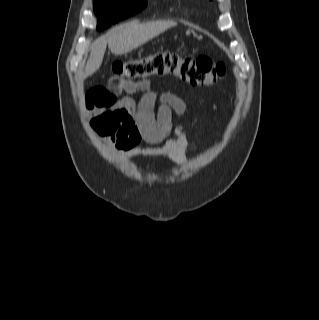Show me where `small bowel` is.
Wrapping results in <instances>:
<instances>
[{"label":"small bowel","mask_w":319,"mask_h":320,"mask_svg":"<svg viewBox=\"0 0 319 320\" xmlns=\"http://www.w3.org/2000/svg\"><path fill=\"white\" fill-rule=\"evenodd\" d=\"M136 88L144 93L139 103L129 95L118 98L119 89L115 85L90 89L86 95V109L91 117L90 127L108 143L113 152L125 158H164L176 166H183L190 138L182 125L173 127L171 123L172 109L181 112L182 102L172 93L162 94L161 107L155 117L153 107L157 95L151 90L150 83L129 86L127 92L131 93ZM125 116L149 117L157 125L172 130V137L162 146L134 147L127 143L125 135L118 128Z\"/></svg>","instance_id":"obj_1"}]
</instances>
